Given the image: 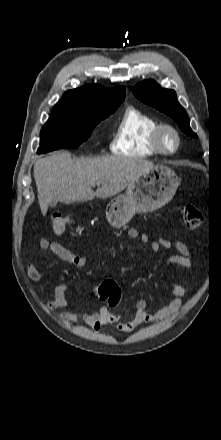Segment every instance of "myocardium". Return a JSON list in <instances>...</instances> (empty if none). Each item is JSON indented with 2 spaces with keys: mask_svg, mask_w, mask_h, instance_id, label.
<instances>
[{
  "mask_svg": "<svg viewBox=\"0 0 221 440\" xmlns=\"http://www.w3.org/2000/svg\"><path fill=\"white\" fill-rule=\"evenodd\" d=\"M166 133L172 134L174 144L171 148L167 147L164 142ZM152 144L157 153L162 155L175 154L181 145V136L177 128L168 123L158 124L152 132Z\"/></svg>",
  "mask_w": 221,
  "mask_h": 440,
  "instance_id": "obj_1",
  "label": "myocardium"
}]
</instances>
